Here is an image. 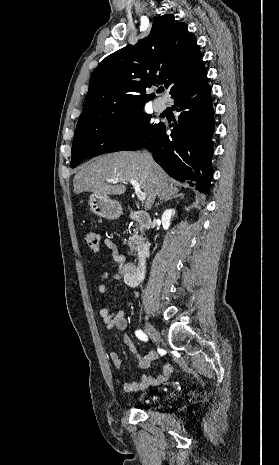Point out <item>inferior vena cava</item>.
<instances>
[{"label":"inferior vena cava","mask_w":279,"mask_h":465,"mask_svg":"<svg viewBox=\"0 0 279 465\" xmlns=\"http://www.w3.org/2000/svg\"><path fill=\"white\" fill-rule=\"evenodd\" d=\"M143 156L145 157V159L147 160L149 164H153L154 161H153L152 155L148 151H145L143 153Z\"/></svg>","instance_id":"obj_1"}]
</instances>
